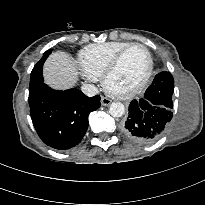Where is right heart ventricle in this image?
Here are the masks:
<instances>
[{
	"mask_svg": "<svg viewBox=\"0 0 205 205\" xmlns=\"http://www.w3.org/2000/svg\"><path fill=\"white\" fill-rule=\"evenodd\" d=\"M130 44L118 41L88 45L79 53L80 67L89 78L99 79L112 59Z\"/></svg>",
	"mask_w": 205,
	"mask_h": 205,
	"instance_id": "right-heart-ventricle-1",
	"label": "right heart ventricle"
}]
</instances>
